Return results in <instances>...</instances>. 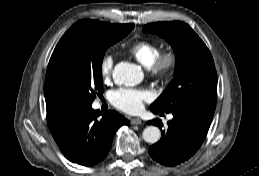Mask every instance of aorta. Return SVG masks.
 Wrapping results in <instances>:
<instances>
[{"label": "aorta", "mask_w": 259, "mask_h": 176, "mask_svg": "<svg viewBox=\"0 0 259 176\" xmlns=\"http://www.w3.org/2000/svg\"><path fill=\"white\" fill-rule=\"evenodd\" d=\"M113 78L115 82L133 86L137 85L142 80V75L137 65L130 62H120L113 70ZM145 142L154 144L161 137L160 129L156 126H147L142 133Z\"/></svg>", "instance_id": "aorta-1"}]
</instances>
